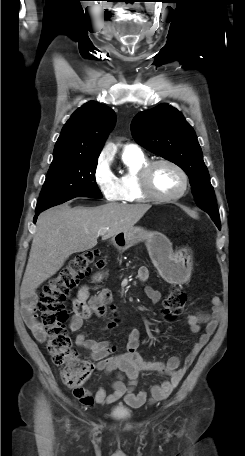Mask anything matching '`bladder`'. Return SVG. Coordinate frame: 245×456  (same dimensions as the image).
<instances>
[{
  "label": "bladder",
  "mask_w": 245,
  "mask_h": 456,
  "mask_svg": "<svg viewBox=\"0 0 245 456\" xmlns=\"http://www.w3.org/2000/svg\"><path fill=\"white\" fill-rule=\"evenodd\" d=\"M111 416L117 420H124L130 416V411L123 406H117L112 409Z\"/></svg>",
  "instance_id": "obj_1"
}]
</instances>
